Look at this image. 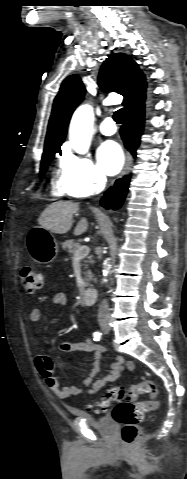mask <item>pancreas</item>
<instances>
[{
  "mask_svg": "<svg viewBox=\"0 0 187 479\" xmlns=\"http://www.w3.org/2000/svg\"><path fill=\"white\" fill-rule=\"evenodd\" d=\"M80 243L76 242L75 240H66L65 242L62 243V248L63 250H66L72 257H74L75 251L80 247ZM87 261H85L86 263ZM85 269H87V265H84ZM85 275V283L84 286L88 287L90 286V281L93 279V275L91 271L87 270L84 272Z\"/></svg>",
  "mask_w": 187,
  "mask_h": 479,
  "instance_id": "cf45deb5",
  "label": "pancreas"
}]
</instances>
